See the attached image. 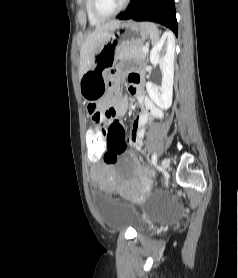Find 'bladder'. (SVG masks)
Wrapping results in <instances>:
<instances>
[{
  "mask_svg": "<svg viewBox=\"0 0 238 278\" xmlns=\"http://www.w3.org/2000/svg\"><path fill=\"white\" fill-rule=\"evenodd\" d=\"M95 206L103 225L111 230L133 228L142 232L145 228L144 221L131 204H115V199L98 195L95 197Z\"/></svg>",
  "mask_w": 238,
  "mask_h": 278,
  "instance_id": "obj_1",
  "label": "bladder"
}]
</instances>
